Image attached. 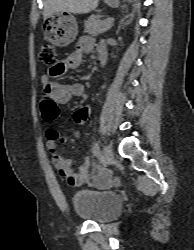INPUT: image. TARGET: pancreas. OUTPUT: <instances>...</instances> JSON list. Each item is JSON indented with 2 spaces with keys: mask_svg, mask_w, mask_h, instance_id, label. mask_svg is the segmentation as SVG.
Instances as JSON below:
<instances>
[{
  "mask_svg": "<svg viewBox=\"0 0 194 250\" xmlns=\"http://www.w3.org/2000/svg\"><path fill=\"white\" fill-rule=\"evenodd\" d=\"M85 33H89L91 35H99L106 32L111 28L110 23H106L105 20H101L99 15H92L85 21Z\"/></svg>",
  "mask_w": 194,
  "mask_h": 250,
  "instance_id": "obj_1",
  "label": "pancreas"
}]
</instances>
